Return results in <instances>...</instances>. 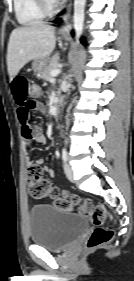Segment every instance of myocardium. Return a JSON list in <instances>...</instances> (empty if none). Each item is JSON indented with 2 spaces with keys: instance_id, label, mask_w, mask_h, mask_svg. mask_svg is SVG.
Returning a JSON list of instances; mask_svg holds the SVG:
<instances>
[{
  "instance_id": "f54148a6",
  "label": "myocardium",
  "mask_w": 134,
  "mask_h": 281,
  "mask_svg": "<svg viewBox=\"0 0 134 281\" xmlns=\"http://www.w3.org/2000/svg\"><path fill=\"white\" fill-rule=\"evenodd\" d=\"M37 1V4L40 8V10L45 14V15H52L54 14L58 7H59V4L54 1H50V0H36Z\"/></svg>"
}]
</instances>
